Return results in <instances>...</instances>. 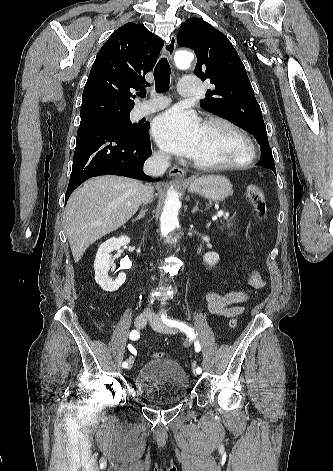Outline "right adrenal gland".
<instances>
[{
  "mask_svg": "<svg viewBox=\"0 0 333 471\" xmlns=\"http://www.w3.org/2000/svg\"><path fill=\"white\" fill-rule=\"evenodd\" d=\"M147 211H148L147 208H143V209L140 211L139 215H138L135 219H133V221H137V220L143 219V218L145 217V214H146Z\"/></svg>",
  "mask_w": 333,
  "mask_h": 471,
  "instance_id": "2a0ac1e0",
  "label": "right adrenal gland"
}]
</instances>
